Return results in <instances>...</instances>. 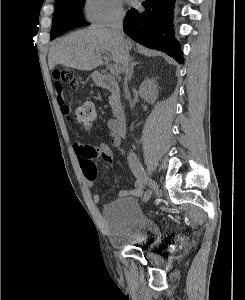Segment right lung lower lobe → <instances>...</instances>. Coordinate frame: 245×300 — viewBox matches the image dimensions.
Listing matches in <instances>:
<instances>
[{"label":"right lung lower lobe","instance_id":"right-lung-lower-lobe-1","mask_svg":"<svg viewBox=\"0 0 245 300\" xmlns=\"http://www.w3.org/2000/svg\"><path fill=\"white\" fill-rule=\"evenodd\" d=\"M175 0H146L143 9L131 8L124 19V32L134 41L156 48L183 63L180 43L173 38L172 7ZM84 24L79 22H61L59 35Z\"/></svg>","mask_w":245,"mask_h":300}]
</instances>
